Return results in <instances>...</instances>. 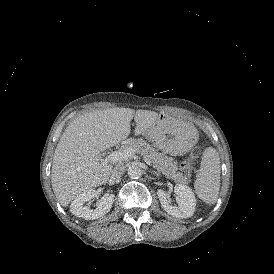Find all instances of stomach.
Segmentation results:
<instances>
[{
	"label": "stomach",
	"mask_w": 274,
	"mask_h": 274,
	"mask_svg": "<svg viewBox=\"0 0 274 274\" xmlns=\"http://www.w3.org/2000/svg\"><path fill=\"white\" fill-rule=\"evenodd\" d=\"M146 136L165 154L181 156L197 143V130L180 120L160 114L158 120Z\"/></svg>",
	"instance_id": "obj_1"
}]
</instances>
